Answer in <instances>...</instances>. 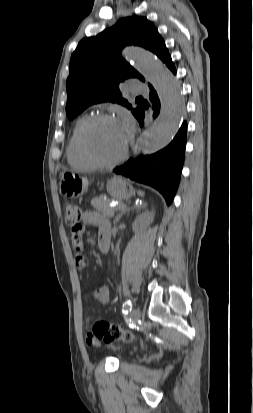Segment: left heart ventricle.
<instances>
[{
    "mask_svg": "<svg viewBox=\"0 0 253 413\" xmlns=\"http://www.w3.org/2000/svg\"><path fill=\"white\" fill-rule=\"evenodd\" d=\"M91 153L99 160L111 161L123 151L126 140L118 122H99L88 133Z\"/></svg>",
    "mask_w": 253,
    "mask_h": 413,
    "instance_id": "obj_1",
    "label": "left heart ventricle"
}]
</instances>
